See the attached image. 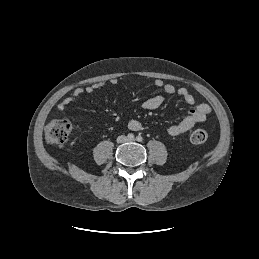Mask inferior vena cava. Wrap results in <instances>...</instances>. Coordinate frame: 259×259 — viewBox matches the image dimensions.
<instances>
[{"instance_id": "obj_1", "label": "inferior vena cava", "mask_w": 259, "mask_h": 259, "mask_svg": "<svg viewBox=\"0 0 259 259\" xmlns=\"http://www.w3.org/2000/svg\"><path fill=\"white\" fill-rule=\"evenodd\" d=\"M125 140H126V139H125L124 136H119V137L117 138V141H118L119 143L124 142Z\"/></svg>"}]
</instances>
